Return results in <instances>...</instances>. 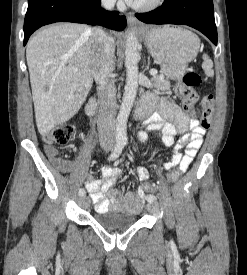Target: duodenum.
Returning <instances> with one entry per match:
<instances>
[{
	"instance_id": "obj_1",
	"label": "duodenum",
	"mask_w": 247,
	"mask_h": 275,
	"mask_svg": "<svg viewBox=\"0 0 247 275\" xmlns=\"http://www.w3.org/2000/svg\"><path fill=\"white\" fill-rule=\"evenodd\" d=\"M98 109V104L95 98L89 99L87 105H86V111L88 114H95ZM148 112V109L146 105L143 103H140L136 107V118L140 119L143 118Z\"/></svg>"
}]
</instances>
